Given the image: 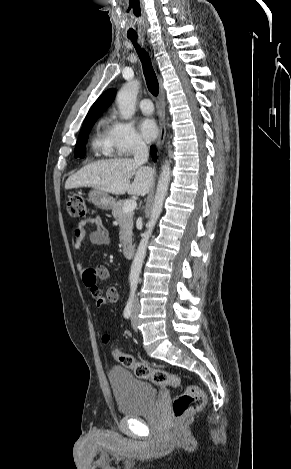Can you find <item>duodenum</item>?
<instances>
[{
	"label": "duodenum",
	"instance_id": "410a0bca",
	"mask_svg": "<svg viewBox=\"0 0 291 469\" xmlns=\"http://www.w3.org/2000/svg\"><path fill=\"white\" fill-rule=\"evenodd\" d=\"M134 251H135V247L133 244H126L124 246V249H123V252H124V255L127 257V258H130L133 256L134 254Z\"/></svg>",
	"mask_w": 291,
	"mask_h": 469
}]
</instances>
